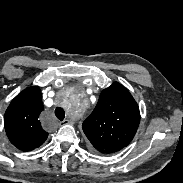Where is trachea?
Segmentation results:
<instances>
[{
    "instance_id": "trachea-1",
    "label": "trachea",
    "mask_w": 183,
    "mask_h": 183,
    "mask_svg": "<svg viewBox=\"0 0 183 183\" xmlns=\"http://www.w3.org/2000/svg\"><path fill=\"white\" fill-rule=\"evenodd\" d=\"M55 115L56 117L60 120L63 121V119L65 118V111L61 108V107H57L55 109Z\"/></svg>"
}]
</instances>
